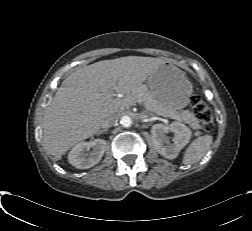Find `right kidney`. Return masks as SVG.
Segmentation results:
<instances>
[{"label": "right kidney", "instance_id": "obj_1", "mask_svg": "<svg viewBox=\"0 0 252 231\" xmlns=\"http://www.w3.org/2000/svg\"><path fill=\"white\" fill-rule=\"evenodd\" d=\"M106 145L107 143L103 139L80 142L69 152V163L78 169L91 168L102 159Z\"/></svg>", "mask_w": 252, "mask_h": 231}]
</instances>
